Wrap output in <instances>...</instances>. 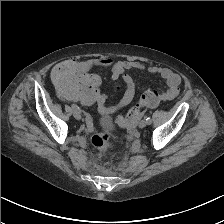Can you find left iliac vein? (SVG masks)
I'll list each match as a JSON object with an SVG mask.
<instances>
[{
    "instance_id": "4c4485c4",
    "label": "left iliac vein",
    "mask_w": 224,
    "mask_h": 224,
    "mask_svg": "<svg viewBox=\"0 0 224 224\" xmlns=\"http://www.w3.org/2000/svg\"><path fill=\"white\" fill-rule=\"evenodd\" d=\"M146 125H147V122L144 119L139 122V127L140 128H144V127H146Z\"/></svg>"
}]
</instances>
